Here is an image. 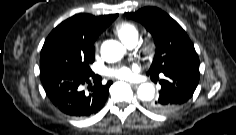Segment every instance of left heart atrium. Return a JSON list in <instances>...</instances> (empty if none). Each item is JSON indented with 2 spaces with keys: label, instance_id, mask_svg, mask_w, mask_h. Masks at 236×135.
Listing matches in <instances>:
<instances>
[{
  "label": "left heart atrium",
  "instance_id": "39dd6f15",
  "mask_svg": "<svg viewBox=\"0 0 236 135\" xmlns=\"http://www.w3.org/2000/svg\"><path fill=\"white\" fill-rule=\"evenodd\" d=\"M111 74L118 78H129L132 74V67L128 65H123L112 70Z\"/></svg>",
  "mask_w": 236,
  "mask_h": 135
}]
</instances>
